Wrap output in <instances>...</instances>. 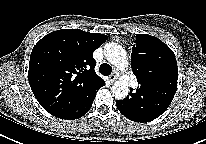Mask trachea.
I'll list each match as a JSON object with an SVG mask.
<instances>
[{"label": "trachea", "mask_w": 206, "mask_h": 144, "mask_svg": "<svg viewBox=\"0 0 206 144\" xmlns=\"http://www.w3.org/2000/svg\"><path fill=\"white\" fill-rule=\"evenodd\" d=\"M99 71L104 76H109L112 73V67L107 63H103L101 64Z\"/></svg>", "instance_id": "3493384b"}]
</instances>
